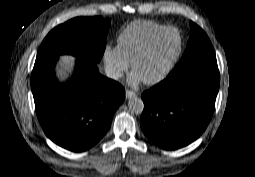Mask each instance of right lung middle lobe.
<instances>
[{"label": "right lung middle lobe", "mask_w": 255, "mask_h": 177, "mask_svg": "<svg viewBox=\"0 0 255 177\" xmlns=\"http://www.w3.org/2000/svg\"><path fill=\"white\" fill-rule=\"evenodd\" d=\"M110 22L100 16L77 17L55 27L43 40L36 61L71 54L98 63L104 54Z\"/></svg>", "instance_id": "1"}]
</instances>
